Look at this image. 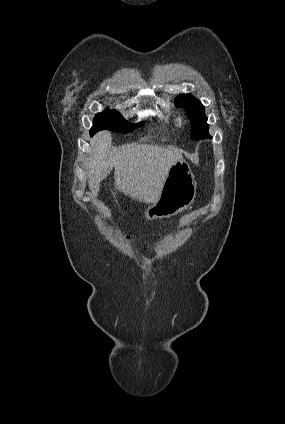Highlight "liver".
I'll return each mask as SVG.
<instances>
[{
    "label": "liver",
    "instance_id": "1",
    "mask_svg": "<svg viewBox=\"0 0 285 424\" xmlns=\"http://www.w3.org/2000/svg\"><path fill=\"white\" fill-rule=\"evenodd\" d=\"M110 132L97 133L91 140V153L86 165L88 186L97 195L100 183L114 171V187L139 202H155L171 166L182 154L175 147L127 144L111 147Z\"/></svg>",
    "mask_w": 285,
    "mask_h": 424
}]
</instances>
